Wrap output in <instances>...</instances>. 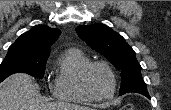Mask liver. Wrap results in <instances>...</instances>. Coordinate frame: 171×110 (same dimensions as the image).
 Here are the masks:
<instances>
[{
    "label": "liver",
    "instance_id": "liver-1",
    "mask_svg": "<svg viewBox=\"0 0 171 110\" xmlns=\"http://www.w3.org/2000/svg\"><path fill=\"white\" fill-rule=\"evenodd\" d=\"M38 85L32 76L17 73L8 77L0 90V110H88L70 103H44L35 98Z\"/></svg>",
    "mask_w": 171,
    "mask_h": 110
}]
</instances>
